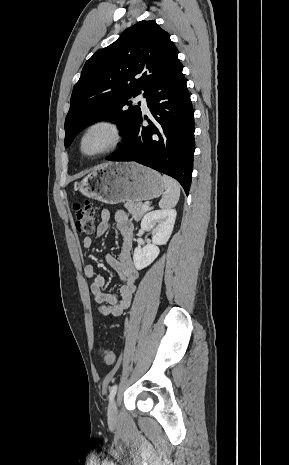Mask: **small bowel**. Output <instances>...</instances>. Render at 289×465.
Wrapping results in <instances>:
<instances>
[{"label": "small bowel", "instance_id": "1", "mask_svg": "<svg viewBox=\"0 0 289 465\" xmlns=\"http://www.w3.org/2000/svg\"><path fill=\"white\" fill-rule=\"evenodd\" d=\"M116 227L122 237V244L118 256L107 255L106 262L117 273L122 285L119 295L105 292V279L98 274L92 265L84 268V274L91 279L90 291L94 301L98 304V310L105 316H119L129 306L133 293L136 290L138 271L132 260L134 227L124 211L115 213ZM110 223V212L106 209L100 213V222L96 228V236H103ZM93 245L91 237H85L82 242L84 249H90Z\"/></svg>", "mask_w": 289, "mask_h": 465}]
</instances>
